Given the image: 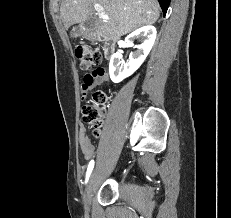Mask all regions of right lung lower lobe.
I'll use <instances>...</instances> for the list:
<instances>
[{"label": "right lung lower lobe", "mask_w": 231, "mask_h": 218, "mask_svg": "<svg viewBox=\"0 0 231 218\" xmlns=\"http://www.w3.org/2000/svg\"><path fill=\"white\" fill-rule=\"evenodd\" d=\"M170 1H171V0H158L160 6H161V8H162V11H163L164 15H165L166 12H167V9H168V7H169Z\"/></svg>", "instance_id": "obj_1"}]
</instances>
